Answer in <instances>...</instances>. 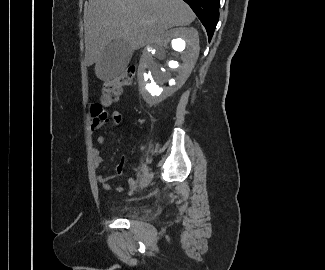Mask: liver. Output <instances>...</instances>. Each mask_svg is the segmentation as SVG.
<instances>
[{
	"label": "liver",
	"mask_w": 325,
	"mask_h": 270,
	"mask_svg": "<svg viewBox=\"0 0 325 270\" xmlns=\"http://www.w3.org/2000/svg\"><path fill=\"white\" fill-rule=\"evenodd\" d=\"M195 14L183 0H89L84 9L85 61L96 64L107 45L116 39L132 51L155 45L172 27L187 26Z\"/></svg>",
	"instance_id": "6515ba94"
}]
</instances>
